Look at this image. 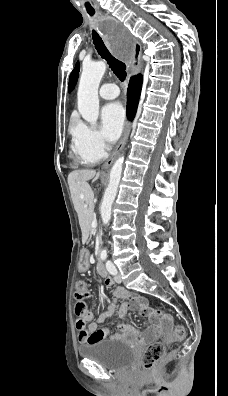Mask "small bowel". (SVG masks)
<instances>
[{
  "label": "small bowel",
  "instance_id": "obj_1",
  "mask_svg": "<svg viewBox=\"0 0 228 396\" xmlns=\"http://www.w3.org/2000/svg\"><path fill=\"white\" fill-rule=\"evenodd\" d=\"M89 267V255L83 252L81 255L80 268L87 270ZM105 284L109 287L114 285L111 277L105 278ZM122 299L123 303L120 305L118 314L121 319L124 318L127 310H136L141 315L147 316L151 320V326L142 334L139 330L128 322H123L116 326L115 333L111 335L109 328H99L98 325L105 319L110 317L116 306V301ZM95 317L94 311L85 312V320L91 321L88 327L78 329V340L82 344H89L109 338H130L134 339L139 337L142 342H146L158 338L162 333L166 332L171 326V318L165 316L162 319L158 318L148 306L147 301L138 295L132 294L122 287H117L112 293L111 302L106 311L101 313L96 320L92 321Z\"/></svg>",
  "mask_w": 228,
  "mask_h": 396
}]
</instances>
